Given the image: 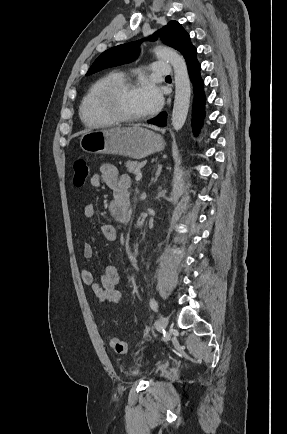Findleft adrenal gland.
<instances>
[{"label":"left adrenal gland","mask_w":287,"mask_h":434,"mask_svg":"<svg viewBox=\"0 0 287 434\" xmlns=\"http://www.w3.org/2000/svg\"><path fill=\"white\" fill-rule=\"evenodd\" d=\"M161 171H162V165L161 164H158V166H157V171H156V173H155V176H154V178H152V181H156L157 180V178L160 176V174H161Z\"/></svg>","instance_id":"a2214340"}]
</instances>
